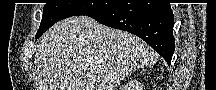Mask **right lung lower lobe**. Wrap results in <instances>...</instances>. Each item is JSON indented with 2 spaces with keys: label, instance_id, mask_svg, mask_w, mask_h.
I'll list each match as a JSON object with an SVG mask.
<instances>
[{
  "label": "right lung lower lobe",
  "instance_id": "obj_1",
  "mask_svg": "<svg viewBox=\"0 0 216 90\" xmlns=\"http://www.w3.org/2000/svg\"><path fill=\"white\" fill-rule=\"evenodd\" d=\"M87 16L140 37L170 65L175 50L170 4H110Z\"/></svg>",
  "mask_w": 216,
  "mask_h": 90
}]
</instances>
